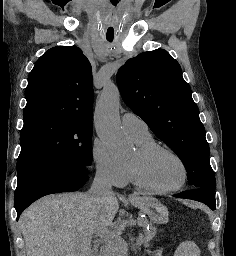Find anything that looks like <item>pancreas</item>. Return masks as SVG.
<instances>
[{"mask_svg":"<svg viewBox=\"0 0 236 256\" xmlns=\"http://www.w3.org/2000/svg\"><path fill=\"white\" fill-rule=\"evenodd\" d=\"M131 224V219H116V224ZM141 227H149V222H141ZM106 234L104 237H100V242H104L105 246L103 248L104 254H121V250H124L129 244L123 242V238H120V234H126L127 230L124 226H107ZM156 234V228H152L151 232H144V235H141V238H135V243H149ZM119 248V249H116Z\"/></svg>","mask_w":236,"mask_h":256,"instance_id":"1","label":"pancreas"}]
</instances>
